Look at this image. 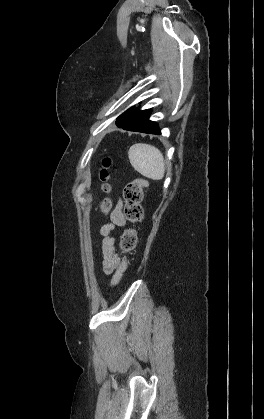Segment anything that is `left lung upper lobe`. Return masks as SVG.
Here are the masks:
<instances>
[{
	"mask_svg": "<svg viewBox=\"0 0 264 419\" xmlns=\"http://www.w3.org/2000/svg\"><path fill=\"white\" fill-rule=\"evenodd\" d=\"M124 114H125V112L122 115H120L119 117L123 116Z\"/></svg>",
	"mask_w": 264,
	"mask_h": 419,
	"instance_id": "left-lung-upper-lobe-1",
	"label": "left lung upper lobe"
}]
</instances>
